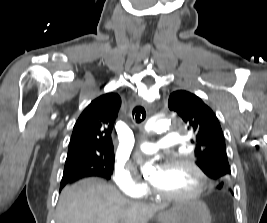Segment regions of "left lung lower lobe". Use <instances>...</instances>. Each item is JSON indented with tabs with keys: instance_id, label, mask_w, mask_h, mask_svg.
Listing matches in <instances>:
<instances>
[{
	"instance_id": "1",
	"label": "left lung lower lobe",
	"mask_w": 267,
	"mask_h": 223,
	"mask_svg": "<svg viewBox=\"0 0 267 223\" xmlns=\"http://www.w3.org/2000/svg\"><path fill=\"white\" fill-rule=\"evenodd\" d=\"M215 190H219V195H230V182H215Z\"/></svg>"
}]
</instances>
